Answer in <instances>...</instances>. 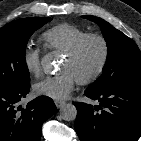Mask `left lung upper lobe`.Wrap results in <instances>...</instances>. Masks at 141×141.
I'll use <instances>...</instances> for the list:
<instances>
[{"instance_id": "left-lung-upper-lobe-1", "label": "left lung upper lobe", "mask_w": 141, "mask_h": 141, "mask_svg": "<svg viewBox=\"0 0 141 141\" xmlns=\"http://www.w3.org/2000/svg\"><path fill=\"white\" fill-rule=\"evenodd\" d=\"M83 17L101 27L108 47L103 74L89 90L99 91L113 85H141V52L135 42L102 18Z\"/></svg>"}]
</instances>
